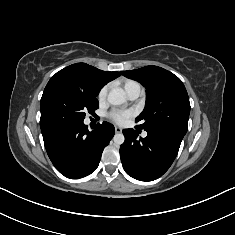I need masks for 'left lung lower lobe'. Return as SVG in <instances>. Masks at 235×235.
<instances>
[{
	"label": "left lung lower lobe",
	"instance_id": "0a47b994",
	"mask_svg": "<svg viewBox=\"0 0 235 235\" xmlns=\"http://www.w3.org/2000/svg\"><path fill=\"white\" fill-rule=\"evenodd\" d=\"M147 133V137L137 140L133 129L123 130L125 142L120 146V157L128 175L153 181L169 169L184 136L167 130H147Z\"/></svg>",
	"mask_w": 235,
	"mask_h": 235
}]
</instances>
